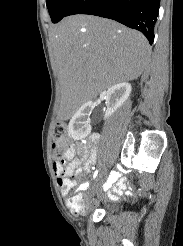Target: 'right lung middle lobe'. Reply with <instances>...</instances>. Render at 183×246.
I'll list each match as a JSON object with an SVG mask.
<instances>
[{"label": "right lung middle lobe", "mask_w": 183, "mask_h": 246, "mask_svg": "<svg viewBox=\"0 0 183 246\" xmlns=\"http://www.w3.org/2000/svg\"><path fill=\"white\" fill-rule=\"evenodd\" d=\"M77 0H46V5L53 23H57Z\"/></svg>", "instance_id": "1"}]
</instances>
